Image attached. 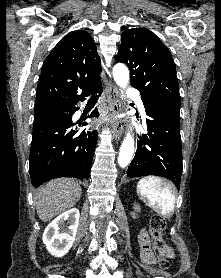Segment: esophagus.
Wrapping results in <instances>:
<instances>
[{
	"mask_svg": "<svg viewBox=\"0 0 221 278\" xmlns=\"http://www.w3.org/2000/svg\"><path fill=\"white\" fill-rule=\"evenodd\" d=\"M106 93L110 102V113L113 116H118L121 113V100L118 88L111 82L106 86ZM125 129V121L116 118L112 124V133L115 140H120Z\"/></svg>",
	"mask_w": 221,
	"mask_h": 278,
	"instance_id": "1",
	"label": "esophagus"
}]
</instances>
